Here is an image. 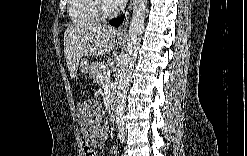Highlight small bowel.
Segmentation results:
<instances>
[{"instance_id":"c3829d8e","label":"small bowel","mask_w":247,"mask_h":156,"mask_svg":"<svg viewBox=\"0 0 247 156\" xmlns=\"http://www.w3.org/2000/svg\"><path fill=\"white\" fill-rule=\"evenodd\" d=\"M85 153L87 156H94L96 155V152L95 151H91V150H85Z\"/></svg>"}]
</instances>
